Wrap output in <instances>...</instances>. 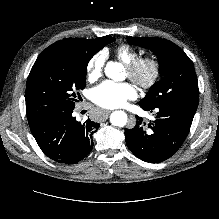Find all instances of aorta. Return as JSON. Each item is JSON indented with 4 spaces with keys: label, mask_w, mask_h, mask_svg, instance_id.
Here are the masks:
<instances>
[{
    "label": "aorta",
    "mask_w": 219,
    "mask_h": 219,
    "mask_svg": "<svg viewBox=\"0 0 219 219\" xmlns=\"http://www.w3.org/2000/svg\"><path fill=\"white\" fill-rule=\"evenodd\" d=\"M122 65L117 62H108L105 67V75L113 80H117L121 72ZM113 126L124 127L127 123V114L124 111H114L110 116Z\"/></svg>",
    "instance_id": "aorta-1"
}]
</instances>
